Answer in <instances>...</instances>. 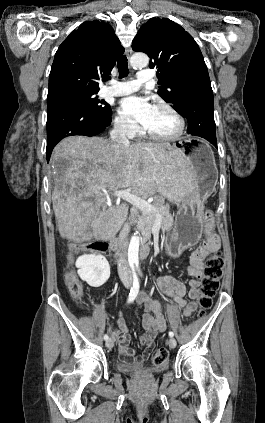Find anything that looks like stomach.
<instances>
[{"mask_svg": "<svg viewBox=\"0 0 265 423\" xmlns=\"http://www.w3.org/2000/svg\"><path fill=\"white\" fill-rule=\"evenodd\" d=\"M172 149L181 156L187 180V190L176 213L174 227L166 238L167 254L176 258L199 241L203 227V199L212 191L216 165L211 147L202 139L185 138Z\"/></svg>", "mask_w": 265, "mask_h": 423, "instance_id": "stomach-1", "label": "stomach"}]
</instances>
